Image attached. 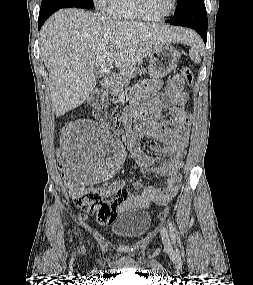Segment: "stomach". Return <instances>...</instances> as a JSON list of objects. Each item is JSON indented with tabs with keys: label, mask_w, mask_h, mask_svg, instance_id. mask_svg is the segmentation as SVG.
<instances>
[{
	"label": "stomach",
	"mask_w": 253,
	"mask_h": 285,
	"mask_svg": "<svg viewBox=\"0 0 253 285\" xmlns=\"http://www.w3.org/2000/svg\"><path fill=\"white\" fill-rule=\"evenodd\" d=\"M149 57V75L163 77L176 69L181 55L171 44H160L149 53Z\"/></svg>",
	"instance_id": "0dacf381"
}]
</instances>
